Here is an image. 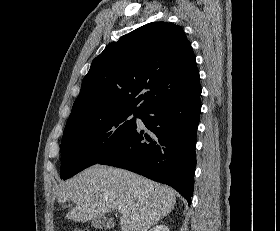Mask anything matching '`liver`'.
<instances>
[{
    "label": "liver",
    "mask_w": 280,
    "mask_h": 231,
    "mask_svg": "<svg viewBox=\"0 0 280 231\" xmlns=\"http://www.w3.org/2000/svg\"><path fill=\"white\" fill-rule=\"evenodd\" d=\"M57 195L59 203H76L67 215L75 221L98 219L119 205L125 207L120 217L122 231H147L176 203L172 187L107 165H92L77 173L61 183Z\"/></svg>",
    "instance_id": "obj_1"
}]
</instances>
